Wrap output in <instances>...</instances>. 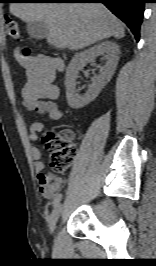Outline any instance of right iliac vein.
<instances>
[{
  "label": "right iliac vein",
  "mask_w": 156,
  "mask_h": 266,
  "mask_svg": "<svg viewBox=\"0 0 156 266\" xmlns=\"http://www.w3.org/2000/svg\"><path fill=\"white\" fill-rule=\"evenodd\" d=\"M63 210V205L62 204H58L52 211L50 218H49V230L51 233L54 232L56 223L62 213Z\"/></svg>",
  "instance_id": "63e3f726"
}]
</instances>
